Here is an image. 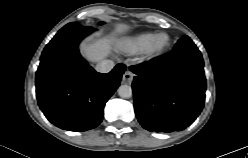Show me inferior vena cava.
<instances>
[{
    "mask_svg": "<svg viewBox=\"0 0 248 158\" xmlns=\"http://www.w3.org/2000/svg\"><path fill=\"white\" fill-rule=\"evenodd\" d=\"M114 66L115 64L112 60H103L96 65V70L100 73H108Z\"/></svg>",
    "mask_w": 248,
    "mask_h": 158,
    "instance_id": "inferior-vena-cava-1",
    "label": "inferior vena cava"
}]
</instances>
